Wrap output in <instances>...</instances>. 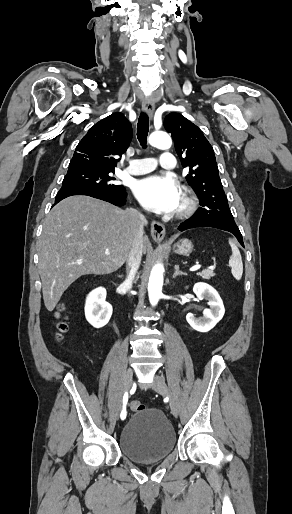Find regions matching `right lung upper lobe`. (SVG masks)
Returning a JSON list of instances; mask_svg holds the SVG:
<instances>
[{
	"mask_svg": "<svg viewBox=\"0 0 292 514\" xmlns=\"http://www.w3.org/2000/svg\"><path fill=\"white\" fill-rule=\"evenodd\" d=\"M132 139V126L122 113H114L89 129L76 147L68 172L114 171Z\"/></svg>",
	"mask_w": 292,
	"mask_h": 514,
	"instance_id": "cb5924a9",
	"label": "right lung upper lobe"
}]
</instances>
